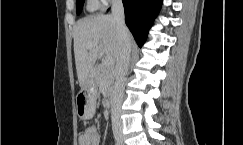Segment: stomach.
I'll return each instance as SVG.
<instances>
[{
	"label": "stomach",
	"mask_w": 243,
	"mask_h": 145,
	"mask_svg": "<svg viewBox=\"0 0 243 145\" xmlns=\"http://www.w3.org/2000/svg\"><path fill=\"white\" fill-rule=\"evenodd\" d=\"M81 87V92L76 97V105L78 115L85 119L94 114L91 106H95L96 103V86L86 82Z\"/></svg>",
	"instance_id": "1"
}]
</instances>
